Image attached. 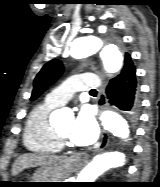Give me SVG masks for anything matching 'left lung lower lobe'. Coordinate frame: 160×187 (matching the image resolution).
<instances>
[{
	"instance_id": "1",
	"label": "left lung lower lobe",
	"mask_w": 160,
	"mask_h": 187,
	"mask_svg": "<svg viewBox=\"0 0 160 187\" xmlns=\"http://www.w3.org/2000/svg\"><path fill=\"white\" fill-rule=\"evenodd\" d=\"M136 69L130 55L125 56L124 66L118 76L111 79L106 96L112 105L123 111L130 120H136L140 108Z\"/></svg>"
}]
</instances>
